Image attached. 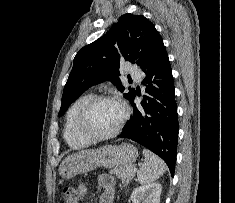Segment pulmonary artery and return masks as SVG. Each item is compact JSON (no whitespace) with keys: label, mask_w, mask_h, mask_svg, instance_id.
<instances>
[{"label":"pulmonary artery","mask_w":235,"mask_h":203,"mask_svg":"<svg viewBox=\"0 0 235 203\" xmlns=\"http://www.w3.org/2000/svg\"><path fill=\"white\" fill-rule=\"evenodd\" d=\"M131 75L137 80L140 81L142 78V74L137 70H131Z\"/></svg>","instance_id":"obj_1"}]
</instances>
